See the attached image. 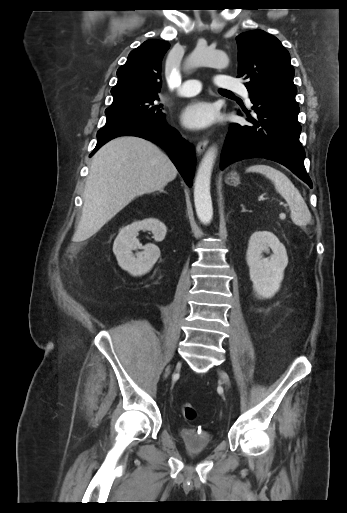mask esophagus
I'll return each mask as SVG.
<instances>
[{"mask_svg": "<svg viewBox=\"0 0 347 513\" xmlns=\"http://www.w3.org/2000/svg\"><path fill=\"white\" fill-rule=\"evenodd\" d=\"M208 142H209L208 139H204V140L198 142V144L196 146V152L198 155H201L205 151V149L208 145Z\"/></svg>", "mask_w": 347, "mask_h": 513, "instance_id": "34e87169", "label": "esophagus"}]
</instances>
